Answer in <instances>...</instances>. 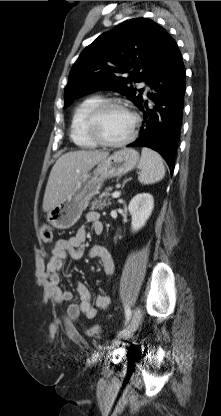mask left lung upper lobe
<instances>
[{"instance_id": "5c2ea615", "label": "left lung upper lobe", "mask_w": 221, "mask_h": 416, "mask_svg": "<svg viewBox=\"0 0 221 416\" xmlns=\"http://www.w3.org/2000/svg\"><path fill=\"white\" fill-rule=\"evenodd\" d=\"M166 34L164 28L146 18L125 21L101 34L74 63L65 87L64 108L97 90L117 91L139 107L143 89L133 85L147 82Z\"/></svg>"}]
</instances>
